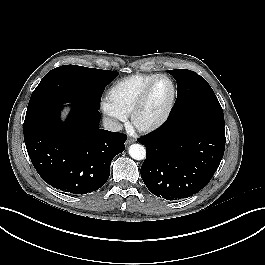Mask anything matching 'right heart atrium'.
I'll list each match as a JSON object with an SVG mask.
<instances>
[{
  "mask_svg": "<svg viewBox=\"0 0 265 265\" xmlns=\"http://www.w3.org/2000/svg\"><path fill=\"white\" fill-rule=\"evenodd\" d=\"M103 110H104V113L108 115L109 117L116 119V120H123V116L109 109L106 104L104 105Z\"/></svg>",
  "mask_w": 265,
  "mask_h": 265,
  "instance_id": "obj_1",
  "label": "right heart atrium"
}]
</instances>
